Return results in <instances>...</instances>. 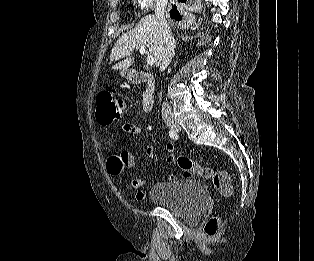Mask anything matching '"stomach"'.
Listing matches in <instances>:
<instances>
[{
    "label": "stomach",
    "mask_w": 314,
    "mask_h": 261,
    "mask_svg": "<svg viewBox=\"0 0 314 261\" xmlns=\"http://www.w3.org/2000/svg\"><path fill=\"white\" fill-rule=\"evenodd\" d=\"M121 76L125 77L128 80L132 79V73H131V71H129L127 69L121 71Z\"/></svg>",
    "instance_id": "stomach-1"
}]
</instances>
